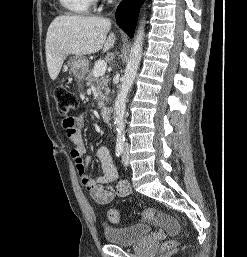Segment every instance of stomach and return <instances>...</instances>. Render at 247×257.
<instances>
[{
    "mask_svg": "<svg viewBox=\"0 0 247 257\" xmlns=\"http://www.w3.org/2000/svg\"><path fill=\"white\" fill-rule=\"evenodd\" d=\"M68 66L73 75L79 80H82L88 71V61L82 56L71 57L68 61Z\"/></svg>",
    "mask_w": 247,
    "mask_h": 257,
    "instance_id": "0dacf381",
    "label": "stomach"
}]
</instances>
